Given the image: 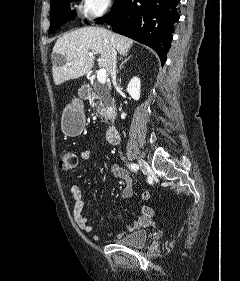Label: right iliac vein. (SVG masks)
<instances>
[{"mask_svg": "<svg viewBox=\"0 0 240 281\" xmlns=\"http://www.w3.org/2000/svg\"><path fill=\"white\" fill-rule=\"evenodd\" d=\"M138 163H139V166L141 167L142 171L145 174H147L149 172V165H148V163L145 160H143V159H139Z\"/></svg>", "mask_w": 240, "mask_h": 281, "instance_id": "63e3f726", "label": "right iliac vein"}]
</instances>
